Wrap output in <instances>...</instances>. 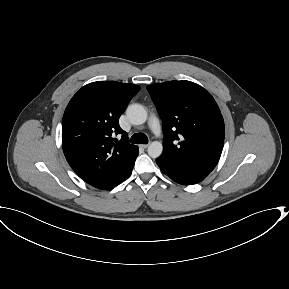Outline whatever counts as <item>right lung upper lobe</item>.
<instances>
[{
	"label": "right lung upper lobe",
	"mask_w": 289,
	"mask_h": 289,
	"mask_svg": "<svg viewBox=\"0 0 289 289\" xmlns=\"http://www.w3.org/2000/svg\"><path fill=\"white\" fill-rule=\"evenodd\" d=\"M138 85L93 82L71 99L62 120V147L71 168L85 182L111 189L122 182L138 153L119 126V118ZM121 134L120 141L113 136Z\"/></svg>",
	"instance_id": "1"
}]
</instances>
